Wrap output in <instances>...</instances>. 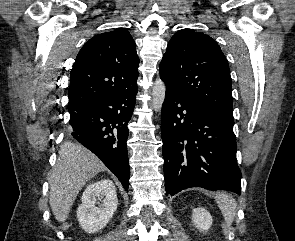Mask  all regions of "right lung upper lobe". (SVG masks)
I'll list each match as a JSON object with an SVG mask.
<instances>
[{"label":"right lung upper lobe","mask_w":295,"mask_h":241,"mask_svg":"<svg viewBox=\"0 0 295 241\" xmlns=\"http://www.w3.org/2000/svg\"><path fill=\"white\" fill-rule=\"evenodd\" d=\"M138 64L128 31L116 29L92 37L71 69L68 110L92 98L130 89L136 84Z\"/></svg>","instance_id":"1"}]
</instances>
